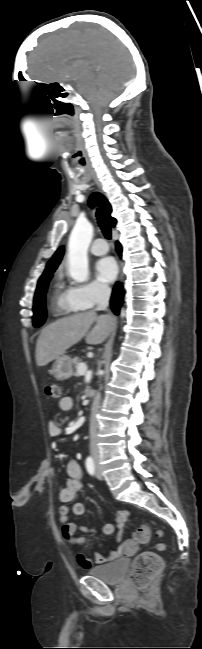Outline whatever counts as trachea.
<instances>
[{
    "instance_id": "trachea-1",
    "label": "trachea",
    "mask_w": 202,
    "mask_h": 649,
    "mask_svg": "<svg viewBox=\"0 0 202 649\" xmlns=\"http://www.w3.org/2000/svg\"><path fill=\"white\" fill-rule=\"evenodd\" d=\"M96 217L97 221L99 224V227L102 230L103 235L105 236L106 239L110 240L111 239V227L107 220L105 219L103 213L100 210H97L96 212Z\"/></svg>"
}]
</instances>
